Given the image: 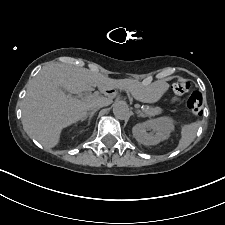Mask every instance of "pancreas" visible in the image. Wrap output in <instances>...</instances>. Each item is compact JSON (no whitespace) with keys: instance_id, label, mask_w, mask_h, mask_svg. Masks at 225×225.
Listing matches in <instances>:
<instances>
[{"instance_id":"1","label":"pancreas","mask_w":225,"mask_h":225,"mask_svg":"<svg viewBox=\"0 0 225 225\" xmlns=\"http://www.w3.org/2000/svg\"><path fill=\"white\" fill-rule=\"evenodd\" d=\"M146 116H155L162 113V109L160 107H147L144 110Z\"/></svg>"}]
</instances>
